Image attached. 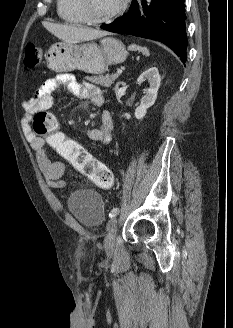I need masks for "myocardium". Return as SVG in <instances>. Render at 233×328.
<instances>
[{"label": "myocardium", "mask_w": 233, "mask_h": 328, "mask_svg": "<svg viewBox=\"0 0 233 328\" xmlns=\"http://www.w3.org/2000/svg\"><path fill=\"white\" fill-rule=\"evenodd\" d=\"M79 10L81 11L85 22L91 25H100L111 22L115 18L122 15L128 6V0H122L119 6L103 17H94L89 13L88 1L87 0H76Z\"/></svg>", "instance_id": "myocardium-1"}]
</instances>
